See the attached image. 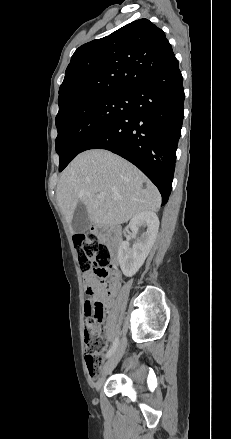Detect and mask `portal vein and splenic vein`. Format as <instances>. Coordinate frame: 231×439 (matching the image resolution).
Returning <instances> with one entry per match:
<instances>
[{
  "instance_id": "obj_1",
  "label": "portal vein and splenic vein",
  "mask_w": 231,
  "mask_h": 439,
  "mask_svg": "<svg viewBox=\"0 0 231 439\" xmlns=\"http://www.w3.org/2000/svg\"><path fill=\"white\" fill-rule=\"evenodd\" d=\"M97 198H98L99 200H102V199L104 198V194H103V193L98 194V195H97Z\"/></svg>"
}]
</instances>
